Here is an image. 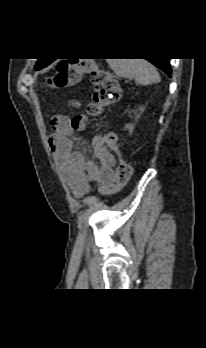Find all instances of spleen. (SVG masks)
<instances>
[{"label": "spleen", "mask_w": 206, "mask_h": 348, "mask_svg": "<svg viewBox=\"0 0 206 348\" xmlns=\"http://www.w3.org/2000/svg\"><path fill=\"white\" fill-rule=\"evenodd\" d=\"M107 63L116 75L132 78L137 84L146 86L160 82L156 68L145 59H108Z\"/></svg>", "instance_id": "obj_1"}]
</instances>
